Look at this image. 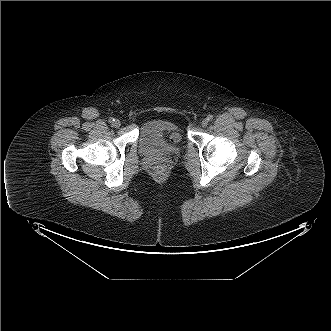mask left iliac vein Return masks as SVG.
<instances>
[{
	"label": "left iliac vein",
	"instance_id": "1",
	"mask_svg": "<svg viewBox=\"0 0 331 331\" xmlns=\"http://www.w3.org/2000/svg\"><path fill=\"white\" fill-rule=\"evenodd\" d=\"M208 125V120L207 119H204L202 122H201V126L202 127H206Z\"/></svg>",
	"mask_w": 331,
	"mask_h": 331
}]
</instances>
